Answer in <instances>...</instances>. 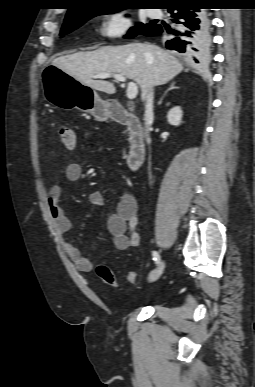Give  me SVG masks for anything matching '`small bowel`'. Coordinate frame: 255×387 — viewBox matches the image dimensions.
<instances>
[{"label":"small bowel","instance_id":"c3829d8e","mask_svg":"<svg viewBox=\"0 0 255 387\" xmlns=\"http://www.w3.org/2000/svg\"><path fill=\"white\" fill-rule=\"evenodd\" d=\"M82 176V167L78 163H69L64 170L67 181L76 182ZM62 195L61 181L57 180L50 187L48 194V208L55 229L60 234H65L71 229V222L60 206ZM89 202L96 209L102 210L105 206L104 197L99 191L89 194ZM138 225L137 204L135 199L125 194L116 206L115 211L106 220V229L116 250H126L137 247L140 236L136 232ZM65 250L74 262L76 268L81 272H90L93 268L91 258L84 256L72 243L65 244Z\"/></svg>","mask_w":255,"mask_h":387}]
</instances>
